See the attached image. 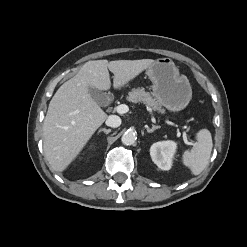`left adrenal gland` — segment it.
I'll return each mask as SVG.
<instances>
[{"mask_svg":"<svg viewBox=\"0 0 247 247\" xmlns=\"http://www.w3.org/2000/svg\"><path fill=\"white\" fill-rule=\"evenodd\" d=\"M159 128H160V126L152 125V128L147 127L146 130H147L148 133H152V132H154L156 129H159Z\"/></svg>","mask_w":247,"mask_h":247,"instance_id":"1","label":"left adrenal gland"}]
</instances>
